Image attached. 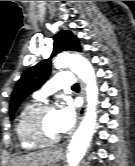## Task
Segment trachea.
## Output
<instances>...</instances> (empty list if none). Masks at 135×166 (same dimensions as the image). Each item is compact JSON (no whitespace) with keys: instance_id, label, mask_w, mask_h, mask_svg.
<instances>
[{"instance_id":"1","label":"trachea","mask_w":135,"mask_h":166,"mask_svg":"<svg viewBox=\"0 0 135 166\" xmlns=\"http://www.w3.org/2000/svg\"><path fill=\"white\" fill-rule=\"evenodd\" d=\"M72 89H79V85L76 83L73 85Z\"/></svg>"}]
</instances>
